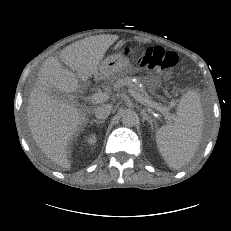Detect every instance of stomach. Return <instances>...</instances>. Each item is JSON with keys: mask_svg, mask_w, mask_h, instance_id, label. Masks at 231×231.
<instances>
[{"mask_svg": "<svg viewBox=\"0 0 231 231\" xmlns=\"http://www.w3.org/2000/svg\"><path fill=\"white\" fill-rule=\"evenodd\" d=\"M131 70L132 65L130 59L119 53L111 55L103 60L96 76L102 79L116 78L120 75H126ZM142 81L151 91L160 83V79L154 75L146 76Z\"/></svg>", "mask_w": 231, "mask_h": 231, "instance_id": "0dacf381", "label": "stomach"}]
</instances>
